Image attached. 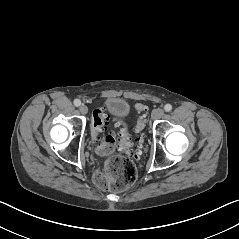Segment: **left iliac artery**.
<instances>
[{
    "instance_id": "1",
    "label": "left iliac artery",
    "mask_w": 239,
    "mask_h": 239,
    "mask_svg": "<svg viewBox=\"0 0 239 239\" xmlns=\"http://www.w3.org/2000/svg\"><path fill=\"white\" fill-rule=\"evenodd\" d=\"M164 110H165L166 112H169V111L172 110V106H171L170 104H166V105L164 106Z\"/></svg>"
}]
</instances>
